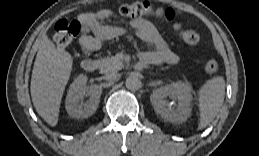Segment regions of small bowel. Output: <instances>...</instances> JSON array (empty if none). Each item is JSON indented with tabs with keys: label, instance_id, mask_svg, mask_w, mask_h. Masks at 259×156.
Returning a JSON list of instances; mask_svg holds the SVG:
<instances>
[{
	"label": "small bowel",
	"instance_id": "c3829d8e",
	"mask_svg": "<svg viewBox=\"0 0 259 156\" xmlns=\"http://www.w3.org/2000/svg\"><path fill=\"white\" fill-rule=\"evenodd\" d=\"M111 15V10L101 9L95 12H86L79 16L83 28L80 44L84 50H94L102 40L123 34L124 30L121 27L105 25ZM129 25L136 36L151 48L142 54L140 67L146 64H173L178 61V55L169 48L151 22L137 18L131 20Z\"/></svg>",
	"mask_w": 259,
	"mask_h": 156
}]
</instances>
